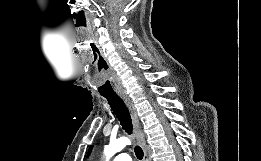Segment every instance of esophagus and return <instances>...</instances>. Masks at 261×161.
Instances as JSON below:
<instances>
[{
  "instance_id": "obj_1",
  "label": "esophagus",
  "mask_w": 261,
  "mask_h": 161,
  "mask_svg": "<svg viewBox=\"0 0 261 161\" xmlns=\"http://www.w3.org/2000/svg\"><path fill=\"white\" fill-rule=\"evenodd\" d=\"M119 96L123 100V102L125 103L126 107L128 108V110L130 112L137 142L139 143V145L142 148H144L145 147V136L143 134L141 124L139 122V118H138V115H137L136 108L134 107L132 101L130 100V98L126 94L120 93ZM144 161H149L146 153H145V156H144Z\"/></svg>"
}]
</instances>
